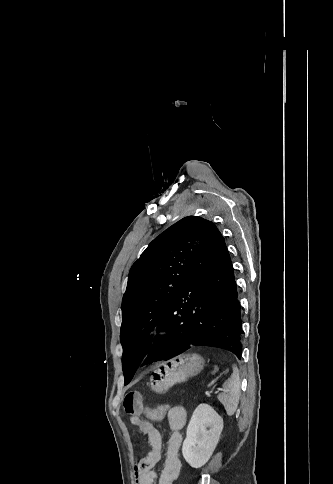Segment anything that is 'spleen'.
I'll return each instance as SVG.
<instances>
[{"instance_id":"1","label":"spleen","mask_w":333,"mask_h":484,"mask_svg":"<svg viewBox=\"0 0 333 484\" xmlns=\"http://www.w3.org/2000/svg\"><path fill=\"white\" fill-rule=\"evenodd\" d=\"M240 397V378L238 368H233L231 377L223 384V392L218 395L219 402L224 406L228 416L234 415Z\"/></svg>"}]
</instances>
